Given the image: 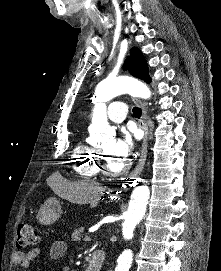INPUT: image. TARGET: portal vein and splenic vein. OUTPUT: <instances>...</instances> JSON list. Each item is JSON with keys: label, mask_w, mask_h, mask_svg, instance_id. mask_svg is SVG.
<instances>
[{"label": "portal vein and splenic vein", "mask_w": 221, "mask_h": 271, "mask_svg": "<svg viewBox=\"0 0 221 271\" xmlns=\"http://www.w3.org/2000/svg\"><path fill=\"white\" fill-rule=\"evenodd\" d=\"M84 240H85V242H90L91 239H90V237H85Z\"/></svg>", "instance_id": "18ae733b"}]
</instances>
